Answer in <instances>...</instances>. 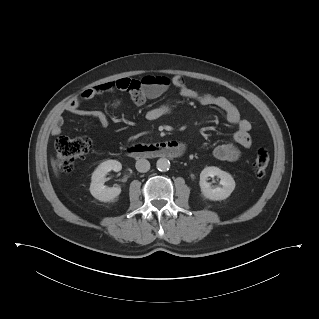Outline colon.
<instances>
[{
	"label": "colon",
	"mask_w": 319,
	"mask_h": 319,
	"mask_svg": "<svg viewBox=\"0 0 319 319\" xmlns=\"http://www.w3.org/2000/svg\"><path fill=\"white\" fill-rule=\"evenodd\" d=\"M170 81L165 76L147 75L138 80H128L123 86L130 95L142 92L145 95H155L164 92ZM90 138L61 136L55 142V155L58 169L63 173L70 172L75 163L91 149ZM270 162L269 153L265 149L257 150L254 157V170L258 177L266 174Z\"/></svg>",
	"instance_id": "5ec220e1"
}]
</instances>
